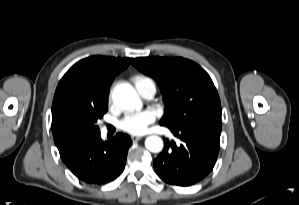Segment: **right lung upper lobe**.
<instances>
[{
    "instance_id": "obj_1",
    "label": "right lung upper lobe",
    "mask_w": 299,
    "mask_h": 205,
    "mask_svg": "<svg viewBox=\"0 0 299 205\" xmlns=\"http://www.w3.org/2000/svg\"><path fill=\"white\" fill-rule=\"evenodd\" d=\"M132 58L91 56L74 64L60 80L52 104V127L59 114L70 106L107 101L115 76Z\"/></svg>"
}]
</instances>
